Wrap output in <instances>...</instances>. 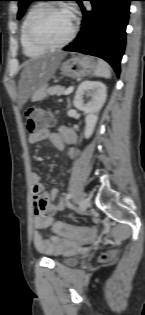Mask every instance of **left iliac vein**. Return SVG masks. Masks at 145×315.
I'll use <instances>...</instances> for the list:
<instances>
[{"label":"left iliac vein","instance_id":"1","mask_svg":"<svg viewBox=\"0 0 145 315\" xmlns=\"http://www.w3.org/2000/svg\"><path fill=\"white\" fill-rule=\"evenodd\" d=\"M89 199L87 198H83L81 199L80 203H79V209H80V212H85L87 210V208L89 207Z\"/></svg>","mask_w":145,"mask_h":315}]
</instances>
